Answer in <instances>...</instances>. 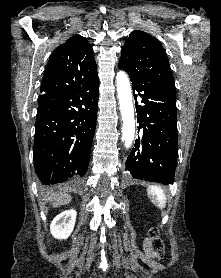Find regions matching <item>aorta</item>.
Instances as JSON below:
<instances>
[{"label":"aorta","mask_w":221,"mask_h":278,"mask_svg":"<svg viewBox=\"0 0 221 278\" xmlns=\"http://www.w3.org/2000/svg\"><path fill=\"white\" fill-rule=\"evenodd\" d=\"M117 93L123 120L122 140L126 148L132 145L135 134V118L132 102L131 85L125 72H118L116 76Z\"/></svg>","instance_id":"aorta-1"}]
</instances>
